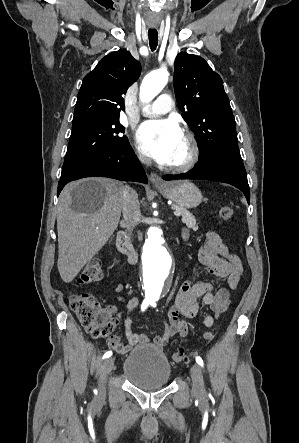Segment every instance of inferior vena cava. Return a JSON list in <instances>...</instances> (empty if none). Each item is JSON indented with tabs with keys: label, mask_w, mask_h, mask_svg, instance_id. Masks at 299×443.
<instances>
[{
	"label": "inferior vena cava",
	"mask_w": 299,
	"mask_h": 443,
	"mask_svg": "<svg viewBox=\"0 0 299 443\" xmlns=\"http://www.w3.org/2000/svg\"><path fill=\"white\" fill-rule=\"evenodd\" d=\"M142 163L149 165L151 159L145 156H139ZM122 212L130 229L133 230L140 222V204L138 195L134 189L124 186L122 190Z\"/></svg>",
	"instance_id": "obj_1"
}]
</instances>
